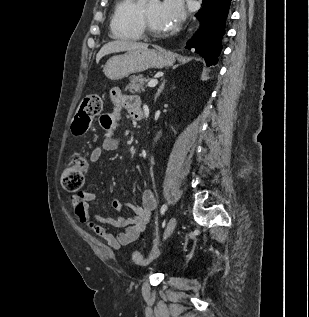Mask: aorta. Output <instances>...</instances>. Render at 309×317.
Segmentation results:
<instances>
[{
    "label": "aorta",
    "mask_w": 309,
    "mask_h": 317,
    "mask_svg": "<svg viewBox=\"0 0 309 317\" xmlns=\"http://www.w3.org/2000/svg\"><path fill=\"white\" fill-rule=\"evenodd\" d=\"M149 1H152V2H157L158 0H149Z\"/></svg>",
    "instance_id": "aorta-1"
}]
</instances>
